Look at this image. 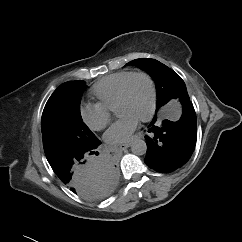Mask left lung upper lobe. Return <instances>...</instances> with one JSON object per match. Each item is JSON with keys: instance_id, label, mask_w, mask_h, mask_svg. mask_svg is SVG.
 <instances>
[{"instance_id": "left-lung-upper-lobe-1", "label": "left lung upper lobe", "mask_w": 242, "mask_h": 242, "mask_svg": "<svg viewBox=\"0 0 242 242\" xmlns=\"http://www.w3.org/2000/svg\"><path fill=\"white\" fill-rule=\"evenodd\" d=\"M127 65H135L148 72L156 83V112L172 98L188 95L184 81L169 67L154 59H135Z\"/></svg>"}]
</instances>
